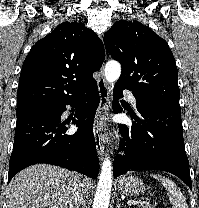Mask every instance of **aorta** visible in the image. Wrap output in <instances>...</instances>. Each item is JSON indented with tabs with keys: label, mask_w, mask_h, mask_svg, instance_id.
I'll use <instances>...</instances> for the list:
<instances>
[{
	"label": "aorta",
	"mask_w": 199,
	"mask_h": 208,
	"mask_svg": "<svg viewBox=\"0 0 199 208\" xmlns=\"http://www.w3.org/2000/svg\"><path fill=\"white\" fill-rule=\"evenodd\" d=\"M105 77L109 83L116 82L121 74V65L117 61H109L105 66ZM112 189V162L106 158L101 166L93 208H108Z\"/></svg>",
	"instance_id": "762f6f07"
}]
</instances>
